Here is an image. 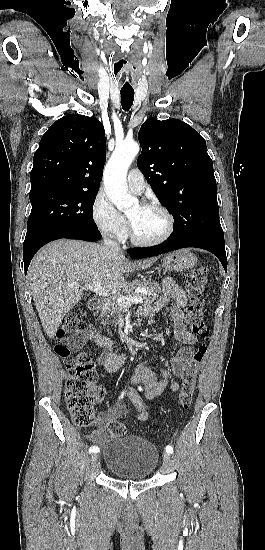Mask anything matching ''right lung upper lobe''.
Instances as JSON below:
<instances>
[{
	"label": "right lung upper lobe",
	"mask_w": 265,
	"mask_h": 550,
	"mask_svg": "<svg viewBox=\"0 0 265 550\" xmlns=\"http://www.w3.org/2000/svg\"><path fill=\"white\" fill-rule=\"evenodd\" d=\"M105 161L102 123L95 117L64 116L40 140L33 157L30 191L53 188L97 193Z\"/></svg>",
	"instance_id": "cb5924a9"
}]
</instances>
